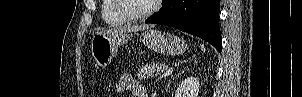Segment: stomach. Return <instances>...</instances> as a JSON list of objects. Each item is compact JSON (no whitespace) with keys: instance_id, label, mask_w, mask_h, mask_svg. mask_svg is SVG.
Returning a JSON list of instances; mask_svg holds the SVG:
<instances>
[{"instance_id":"0dacf381","label":"stomach","mask_w":302,"mask_h":97,"mask_svg":"<svg viewBox=\"0 0 302 97\" xmlns=\"http://www.w3.org/2000/svg\"><path fill=\"white\" fill-rule=\"evenodd\" d=\"M131 33L96 34L93 36L91 51L95 63L100 67L109 65L116 55L118 47L132 38ZM145 47L167 56L183 54L187 49L186 42L170 33L147 29L141 34Z\"/></svg>"}]
</instances>
